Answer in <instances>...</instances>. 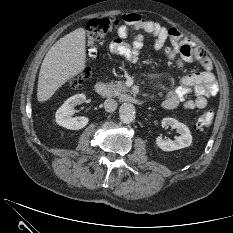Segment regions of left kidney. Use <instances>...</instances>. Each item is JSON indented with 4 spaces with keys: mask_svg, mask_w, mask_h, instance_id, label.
<instances>
[{
    "mask_svg": "<svg viewBox=\"0 0 233 233\" xmlns=\"http://www.w3.org/2000/svg\"><path fill=\"white\" fill-rule=\"evenodd\" d=\"M162 127L168 128L171 127L176 129L179 136H176L174 140L171 139H163L162 137H158L156 139V146L163 151H174L179 150L185 147H189L192 143V135L190 133L189 128L180 123L178 120L174 118H164L161 122Z\"/></svg>",
    "mask_w": 233,
    "mask_h": 233,
    "instance_id": "obj_1",
    "label": "left kidney"
}]
</instances>
